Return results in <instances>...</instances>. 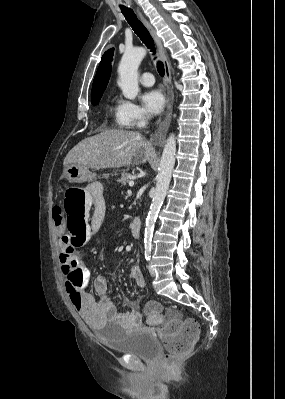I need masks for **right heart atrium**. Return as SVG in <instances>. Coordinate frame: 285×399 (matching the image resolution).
Masks as SVG:
<instances>
[{
  "label": "right heart atrium",
  "mask_w": 285,
  "mask_h": 399,
  "mask_svg": "<svg viewBox=\"0 0 285 399\" xmlns=\"http://www.w3.org/2000/svg\"><path fill=\"white\" fill-rule=\"evenodd\" d=\"M116 116L120 126L133 127L138 122L146 119V112L138 104L130 100L120 99Z\"/></svg>",
  "instance_id": "obj_1"
}]
</instances>
